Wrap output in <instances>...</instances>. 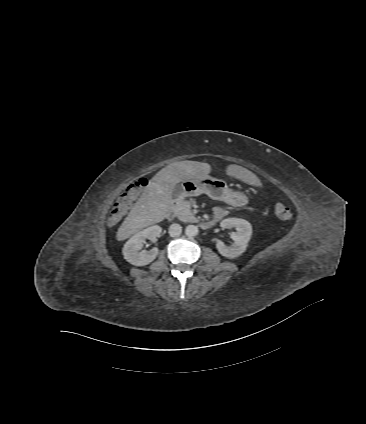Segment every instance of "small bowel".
Segmentation results:
<instances>
[{
	"label": "small bowel",
	"instance_id": "1",
	"mask_svg": "<svg viewBox=\"0 0 366 424\" xmlns=\"http://www.w3.org/2000/svg\"><path fill=\"white\" fill-rule=\"evenodd\" d=\"M226 215H227V211H226V209H224L222 207L217 206L213 210V216H214L215 220H221Z\"/></svg>",
	"mask_w": 366,
	"mask_h": 424
}]
</instances>
